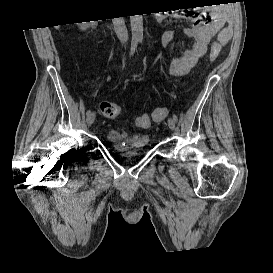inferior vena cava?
Here are the masks:
<instances>
[{"mask_svg": "<svg viewBox=\"0 0 273 273\" xmlns=\"http://www.w3.org/2000/svg\"><path fill=\"white\" fill-rule=\"evenodd\" d=\"M114 30L121 43L128 40V32L123 17L113 18Z\"/></svg>", "mask_w": 273, "mask_h": 273, "instance_id": "602c4592", "label": "inferior vena cava"}]
</instances>
